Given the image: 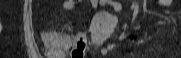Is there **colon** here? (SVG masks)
Wrapping results in <instances>:
<instances>
[{
    "instance_id": "obj_1",
    "label": "colon",
    "mask_w": 181,
    "mask_h": 58,
    "mask_svg": "<svg viewBox=\"0 0 181 58\" xmlns=\"http://www.w3.org/2000/svg\"><path fill=\"white\" fill-rule=\"evenodd\" d=\"M44 44L48 49L64 51L72 49V58H83L86 40L82 37L74 38L72 41L65 37L47 33L43 37Z\"/></svg>"
}]
</instances>
